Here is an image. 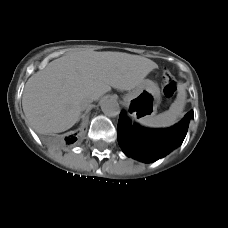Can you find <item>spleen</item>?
Wrapping results in <instances>:
<instances>
[{
  "label": "spleen",
  "mask_w": 228,
  "mask_h": 228,
  "mask_svg": "<svg viewBox=\"0 0 228 228\" xmlns=\"http://www.w3.org/2000/svg\"><path fill=\"white\" fill-rule=\"evenodd\" d=\"M186 96L187 94L184 87L179 86L177 98L167 111H164L156 116L144 118L141 123L145 126L153 128L169 127L175 124L183 112Z\"/></svg>",
  "instance_id": "1"
}]
</instances>
